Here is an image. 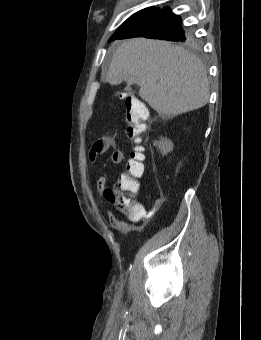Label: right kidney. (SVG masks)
Here are the masks:
<instances>
[{
    "label": "right kidney",
    "mask_w": 261,
    "mask_h": 340,
    "mask_svg": "<svg viewBox=\"0 0 261 340\" xmlns=\"http://www.w3.org/2000/svg\"><path fill=\"white\" fill-rule=\"evenodd\" d=\"M154 145L161 151L163 156L173 150V143L167 138L161 137L159 141L154 143Z\"/></svg>",
    "instance_id": "ca27d5eb"
}]
</instances>
